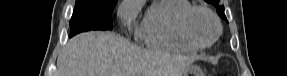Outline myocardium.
<instances>
[{"mask_svg": "<svg viewBox=\"0 0 287 76\" xmlns=\"http://www.w3.org/2000/svg\"><path fill=\"white\" fill-rule=\"evenodd\" d=\"M196 12H204L205 14H207L212 19V21L214 22L216 26V34L208 42L198 41L191 33L190 21H191L192 16ZM179 26H180L181 34L183 35L184 39L188 43H190L191 45H193L194 47L198 49H205V48H209L210 46H212L218 40L222 32V26H221L219 18L216 16V14L212 10L204 6H190L188 9H186L180 17Z\"/></svg>", "mask_w": 287, "mask_h": 76, "instance_id": "obj_1", "label": "myocardium"}]
</instances>
